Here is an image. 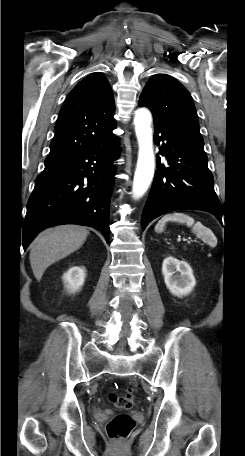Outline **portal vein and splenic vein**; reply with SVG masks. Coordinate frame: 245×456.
<instances>
[{"label":"portal vein and splenic vein","instance_id":"1","mask_svg":"<svg viewBox=\"0 0 245 456\" xmlns=\"http://www.w3.org/2000/svg\"><path fill=\"white\" fill-rule=\"evenodd\" d=\"M184 241H186L188 244H190L192 242V241L187 240V239H184Z\"/></svg>","mask_w":245,"mask_h":456}]
</instances>
